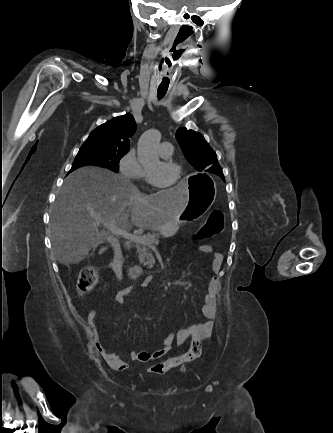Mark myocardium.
<instances>
[{
  "label": "myocardium",
  "instance_id": "f54148a6",
  "mask_svg": "<svg viewBox=\"0 0 333 433\" xmlns=\"http://www.w3.org/2000/svg\"><path fill=\"white\" fill-rule=\"evenodd\" d=\"M162 163L164 165H166V166H169V167H172V168L175 169V171H176V178L173 181V183L170 184L169 186L160 185V184L156 183V181L152 178V176L149 173V171H147L148 180H149V182H150V184L152 186L156 187L159 190L165 191V190H168V189H173V188H175L177 186L178 181H179L180 166L176 162H174L172 160H169V159L162 160Z\"/></svg>",
  "mask_w": 333,
  "mask_h": 433
}]
</instances>
